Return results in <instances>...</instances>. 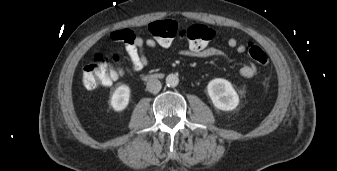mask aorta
Wrapping results in <instances>:
<instances>
[{
    "instance_id": "aorta-1",
    "label": "aorta",
    "mask_w": 337,
    "mask_h": 171,
    "mask_svg": "<svg viewBox=\"0 0 337 171\" xmlns=\"http://www.w3.org/2000/svg\"><path fill=\"white\" fill-rule=\"evenodd\" d=\"M179 83V78L177 75L175 74H169L167 77H166V85L168 87H175L177 86Z\"/></svg>"
}]
</instances>
